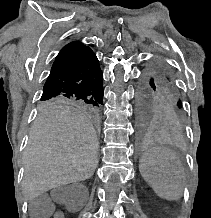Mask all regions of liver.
Wrapping results in <instances>:
<instances>
[{
	"label": "liver",
	"instance_id": "obj_1",
	"mask_svg": "<svg viewBox=\"0 0 211 218\" xmlns=\"http://www.w3.org/2000/svg\"><path fill=\"white\" fill-rule=\"evenodd\" d=\"M24 162L27 200L64 184L88 180L98 164L91 122L74 108L42 110L30 130Z\"/></svg>",
	"mask_w": 211,
	"mask_h": 218
}]
</instances>
